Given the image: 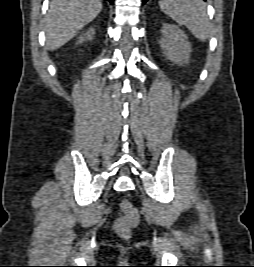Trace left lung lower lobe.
<instances>
[{"instance_id":"1","label":"left lung lower lobe","mask_w":254,"mask_h":267,"mask_svg":"<svg viewBox=\"0 0 254 267\" xmlns=\"http://www.w3.org/2000/svg\"><path fill=\"white\" fill-rule=\"evenodd\" d=\"M148 0H143V4H145Z\"/></svg>"}]
</instances>
